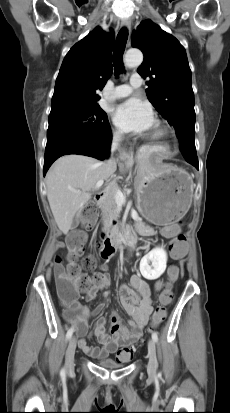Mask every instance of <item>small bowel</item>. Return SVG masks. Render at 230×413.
Returning <instances> with one entry per match:
<instances>
[{
    "instance_id": "c3829d8e",
    "label": "small bowel",
    "mask_w": 230,
    "mask_h": 413,
    "mask_svg": "<svg viewBox=\"0 0 230 413\" xmlns=\"http://www.w3.org/2000/svg\"><path fill=\"white\" fill-rule=\"evenodd\" d=\"M177 232L178 227L175 226L174 222H165L164 236L173 237ZM101 269L102 271L99 272L101 282L87 292L86 298L87 301H92L100 291H104L105 299L97 305L93 312H90L86 305L74 301L70 308L65 311V318L75 328L79 348L91 358L103 359L115 353L120 362H126L128 360L124 357V349L141 337L142 330L153 313L151 287L139 275L132 276L131 287L121 286L120 302L123 309L131 317L129 327L123 326L119 316L112 312L110 332L108 333L105 329L106 319L98 317L91 335L97 338L101 347L90 346L84 338L88 332V320L92 315L100 314L106 307L107 289L110 285V279L105 273V267L102 266ZM162 289V280H158L155 283V290L160 291Z\"/></svg>"
}]
</instances>
